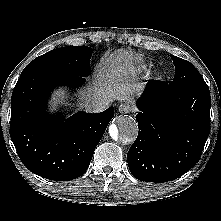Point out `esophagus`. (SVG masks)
Returning <instances> with one entry per match:
<instances>
[{
  "label": "esophagus",
  "instance_id": "34e87169",
  "mask_svg": "<svg viewBox=\"0 0 221 221\" xmlns=\"http://www.w3.org/2000/svg\"><path fill=\"white\" fill-rule=\"evenodd\" d=\"M118 110L120 113L127 114L133 111V106L129 103H122L119 105Z\"/></svg>",
  "mask_w": 221,
  "mask_h": 221
}]
</instances>
